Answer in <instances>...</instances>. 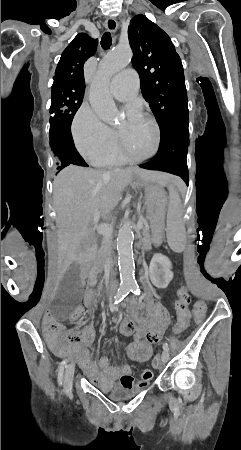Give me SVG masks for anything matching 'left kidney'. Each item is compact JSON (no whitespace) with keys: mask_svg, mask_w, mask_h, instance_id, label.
Returning a JSON list of instances; mask_svg holds the SVG:
<instances>
[{"mask_svg":"<svg viewBox=\"0 0 241 450\" xmlns=\"http://www.w3.org/2000/svg\"><path fill=\"white\" fill-rule=\"evenodd\" d=\"M171 268L169 258L162 254H154L149 266V276L156 288H167L173 278Z\"/></svg>","mask_w":241,"mask_h":450,"instance_id":"obj_1","label":"left kidney"}]
</instances>
